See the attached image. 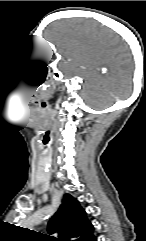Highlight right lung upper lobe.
Wrapping results in <instances>:
<instances>
[{"label":"right lung upper lobe","instance_id":"right-lung-upper-lobe-1","mask_svg":"<svg viewBox=\"0 0 146 241\" xmlns=\"http://www.w3.org/2000/svg\"><path fill=\"white\" fill-rule=\"evenodd\" d=\"M48 232H58V238L48 236L50 241H92L95 238L86 212L69 194L64 195L58 211L50 219Z\"/></svg>","mask_w":146,"mask_h":241}]
</instances>
